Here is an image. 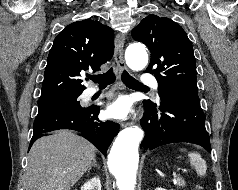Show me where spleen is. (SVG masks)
<instances>
[{"instance_id":"1","label":"spleen","mask_w":238,"mask_h":190,"mask_svg":"<svg viewBox=\"0 0 238 190\" xmlns=\"http://www.w3.org/2000/svg\"><path fill=\"white\" fill-rule=\"evenodd\" d=\"M189 159H190V163L192 166H194L197 174L199 176H204L206 174V170H207V165L204 159H202L201 155L199 153L196 152H191L189 153Z\"/></svg>"}]
</instances>
